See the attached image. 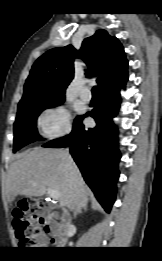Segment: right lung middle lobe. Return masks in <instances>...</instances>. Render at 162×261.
Listing matches in <instances>:
<instances>
[{
  "mask_svg": "<svg viewBox=\"0 0 162 261\" xmlns=\"http://www.w3.org/2000/svg\"><path fill=\"white\" fill-rule=\"evenodd\" d=\"M63 102L64 96H34L20 101L14 123L13 152L35 140H42L36 128L37 117L44 109Z\"/></svg>",
  "mask_w": 162,
  "mask_h": 261,
  "instance_id": "dd1d6c3e",
  "label": "right lung middle lobe"
}]
</instances>
